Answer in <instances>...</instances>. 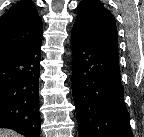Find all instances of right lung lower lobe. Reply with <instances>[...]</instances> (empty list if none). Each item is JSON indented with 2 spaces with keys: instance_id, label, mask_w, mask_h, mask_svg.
<instances>
[{
  "instance_id": "right-lung-lower-lobe-1",
  "label": "right lung lower lobe",
  "mask_w": 144,
  "mask_h": 137,
  "mask_svg": "<svg viewBox=\"0 0 144 137\" xmlns=\"http://www.w3.org/2000/svg\"><path fill=\"white\" fill-rule=\"evenodd\" d=\"M41 40L0 59V128L40 137L39 62Z\"/></svg>"
}]
</instances>
